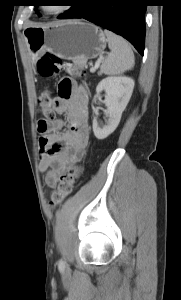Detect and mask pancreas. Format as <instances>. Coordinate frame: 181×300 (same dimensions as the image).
<instances>
[{
  "label": "pancreas",
  "mask_w": 181,
  "mask_h": 300,
  "mask_svg": "<svg viewBox=\"0 0 181 300\" xmlns=\"http://www.w3.org/2000/svg\"><path fill=\"white\" fill-rule=\"evenodd\" d=\"M74 62V64L76 65V66H79V67H83L85 64H83L82 62H80V61H73Z\"/></svg>",
  "instance_id": "obj_1"
}]
</instances>
